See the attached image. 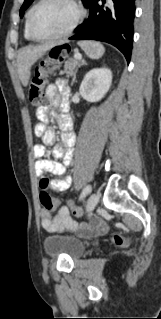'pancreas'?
Returning <instances> with one entry per match:
<instances>
[{
  "label": "pancreas",
  "instance_id": "1",
  "mask_svg": "<svg viewBox=\"0 0 161 319\" xmlns=\"http://www.w3.org/2000/svg\"><path fill=\"white\" fill-rule=\"evenodd\" d=\"M80 66V62L77 59H70L65 63L64 70L61 74H66L67 77L75 75L77 71V67Z\"/></svg>",
  "mask_w": 161,
  "mask_h": 319
}]
</instances>
